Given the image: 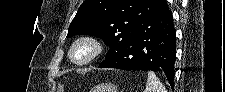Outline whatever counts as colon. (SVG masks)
<instances>
[{
  "label": "colon",
  "mask_w": 225,
  "mask_h": 92,
  "mask_svg": "<svg viewBox=\"0 0 225 92\" xmlns=\"http://www.w3.org/2000/svg\"><path fill=\"white\" fill-rule=\"evenodd\" d=\"M59 92H62V91H64V89H63V86L62 85H60V87H59V90H58Z\"/></svg>",
  "instance_id": "colon-1"
}]
</instances>
